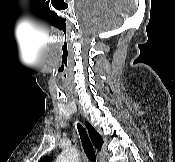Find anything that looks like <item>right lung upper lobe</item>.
I'll return each mask as SVG.
<instances>
[{
  "label": "right lung upper lobe",
  "instance_id": "right-lung-upper-lobe-1",
  "mask_svg": "<svg viewBox=\"0 0 175 162\" xmlns=\"http://www.w3.org/2000/svg\"><path fill=\"white\" fill-rule=\"evenodd\" d=\"M85 125H86V128L89 132V136L91 140L93 141L94 145L96 146V148L101 149L103 145L102 137L89 123H86ZM51 161H52V158L50 156H47L43 158L40 162H51Z\"/></svg>",
  "mask_w": 175,
  "mask_h": 162
}]
</instances>
